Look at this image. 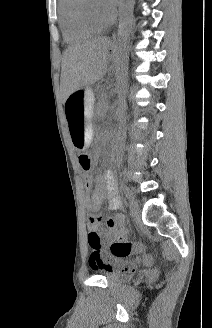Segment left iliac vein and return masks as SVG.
<instances>
[{"mask_svg": "<svg viewBox=\"0 0 212 328\" xmlns=\"http://www.w3.org/2000/svg\"><path fill=\"white\" fill-rule=\"evenodd\" d=\"M129 208H130V212H131L132 217L135 220H139L140 216H141V211H140L138 203L136 202V200L132 196H130Z\"/></svg>", "mask_w": 212, "mask_h": 328, "instance_id": "1", "label": "left iliac vein"}]
</instances>
